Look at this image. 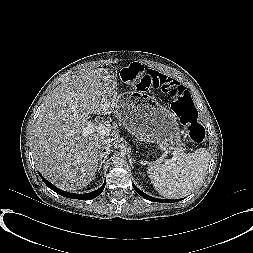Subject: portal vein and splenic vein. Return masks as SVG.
I'll list each match as a JSON object with an SVG mask.
<instances>
[{
  "instance_id": "obj_1",
  "label": "portal vein and splenic vein",
  "mask_w": 253,
  "mask_h": 253,
  "mask_svg": "<svg viewBox=\"0 0 253 253\" xmlns=\"http://www.w3.org/2000/svg\"><path fill=\"white\" fill-rule=\"evenodd\" d=\"M85 125H86V127L83 130L84 135H88V134L97 132L98 134H100L102 136H110L112 133V130L110 127L105 126L103 124L96 125L90 120H85Z\"/></svg>"
}]
</instances>
